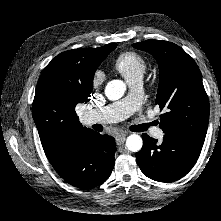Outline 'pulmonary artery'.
Returning a JSON list of instances; mask_svg holds the SVG:
<instances>
[{
	"mask_svg": "<svg viewBox=\"0 0 221 221\" xmlns=\"http://www.w3.org/2000/svg\"><path fill=\"white\" fill-rule=\"evenodd\" d=\"M131 92L123 99L114 102L108 106L93 109L83 114L84 124H106L119 120H123L131 116L136 110V102L139 97L141 79H135L130 82ZM136 123L141 129L145 131L150 129L151 123L144 118H136ZM153 138H162L163 131L161 128H155L151 133Z\"/></svg>",
	"mask_w": 221,
	"mask_h": 221,
	"instance_id": "1",
	"label": "pulmonary artery"
}]
</instances>
